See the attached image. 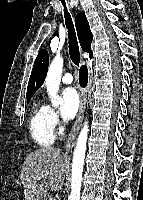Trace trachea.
Returning a JSON list of instances; mask_svg holds the SVG:
<instances>
[{
    "mask_svg": "<svg viewBox=\"0 0 143 200\" xmlns=\"http://www.w3.org/2000/svg\"><path fill=\"white\" fill-rule=\"evenodd\" d=\"M61 2L64 6V17H65L66 28L68 30L69 55H70L72 62L76 66H78L80 63V53H79V46H78V42H77L74 25H73L71 16L67 10L65 1L61 0Z\"/></svg>",
    "mask_w": 143,
    "mask_h": 200,
    "instance_id": "1",
    "label": "trachea"
}]
</instances>
